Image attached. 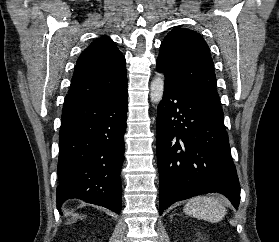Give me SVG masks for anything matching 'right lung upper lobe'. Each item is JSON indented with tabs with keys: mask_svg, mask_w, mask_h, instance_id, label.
Wrapping results in <instances>:
<instances>
[{
	"mask_svg": "<svg viewBox=\"0 0 279 242\" xmlns=\"http://www.w3.org/2000/svg\"><path fill=\"white\" fill-rule=\"evenodd\" d=\"M126 87L125 58L112 40L103 36L78 58L64 107L110 97Z\"/></svg>",
	"mask_w": 279,
	"mask_h": 242,
	"instance_id": "right-lung-upper-lobe-1",
	"label": "right lung upper lobe"
}]
</instances>
